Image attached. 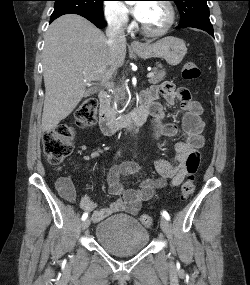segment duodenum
<instances>
[{"label":"duodenum","instance_id":"1","mask_svg":"<svg viewBox=\"0 0 250 285\" xmlns=\"http://www.w3.org/2000/svg\"><path fill=\"white\" fill-rule=\"evenodd\" d=\"M98 98L100 103L99 125L101 131L106 135H111L120 127L128 124L142 125L147 121L150 115L148 104L141 101L140 106L135 111L118 119L112 115L109 109L108 93L106 91H101Z\"/></svg>","mask_w":250,"mask_h":285}]
</instances>
